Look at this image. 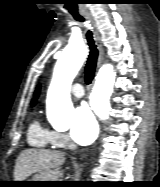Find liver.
Here are the masks:
<instances>
[{
  "mask_svg": "<svg viewBox=\"0 0 160 187\" xmlns=\"http://www.w3.org/2000/svg\"><path fill=\"white\" fill-rule=\"evenodd\" d=\"M65 162L62 152L27 149L20 153L14 170L15 181H24L36 172H47Z\"/></svg>",
  "mask_w": 160,
  "mask_h": 187,
  "instance_id": "liver-1",
  "label": "liver"
}]
</instances>
